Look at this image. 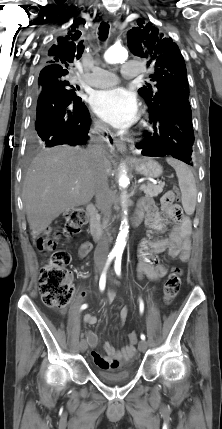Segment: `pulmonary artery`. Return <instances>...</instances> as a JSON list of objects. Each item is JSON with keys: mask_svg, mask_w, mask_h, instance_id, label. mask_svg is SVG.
I'll list each match as a JSON object with an SVG mask.
<instances>
[{"mask_svg": "<svg viewBox=\"0 0 222 429\" xmlns=\"http://www.w3.org/2000/svg\"><path fill=\"white\" fill-rule=\"evenodd\" d=\"M141 73V68L138 62L128 61L123 63L121 74L126 79L137 77ZM85 83L92 87L103 88L113 86L117 83L118 77L113 72L93 67L92 73L84 77Z\"/></svg>", "mask_w": 222, "mask_h": 429, "instance_id": "1", "label": "pulmonary artery"}]
</instances>
